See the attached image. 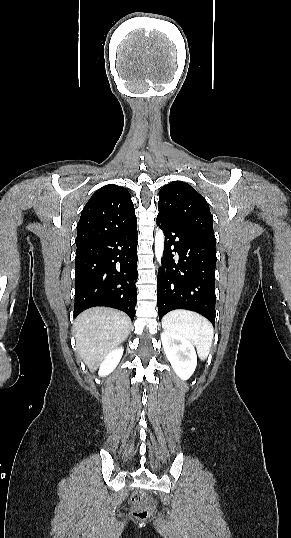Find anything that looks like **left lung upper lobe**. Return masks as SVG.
<instances>
[{"label":"left lung upper lobe","instance_id":"left-lung-upper-lobe-1","mask_svg":"<svg viewBox=\"0 0 291 538\" xmlns=\"http://www.w3.org/2000/svg\"><path fill=\"white\" fill-rule=\"evenodd\" d=\"M158 210L160 218L175 226L214 235L208 203L185 182L173 181L160 190Z\"/></svg>","mask_w":291,"mask_h":538}]
</instances>
